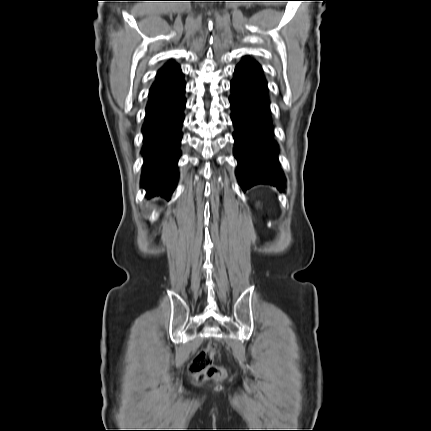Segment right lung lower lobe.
Here are the masks:
<instances>
[{"mask_svg": "<svg viewBox=\"0 0 431 431\" xmlns=\"http://www.w3.org/2000/svg\"><path fill=\"white\" fill-rule=\"evenodd\" d=\"M185 82L182 77L150 94L142 128L144 157L141 185L146 195L170 198L178 179Z\"/></svg>", "mask_w": 431, "mask_h": 431, "instance_id": "right-lung-lower-lobe-1", "label": "right lung lower lobe"}]
</instances>
